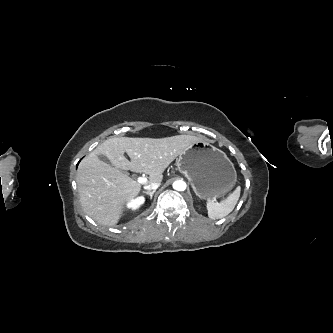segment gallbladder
<instances>
[{
    "label": "gallbladder",
    "instance_id": "bac80fb5",
    "mask_svg": "<svg viewBox=\"0 0 333 333\" xmlns=\"http://www.w3.org/2000/svg\"><path fill=\"white\" fill-rule=\"evenodd\" d=\"M99 159L102 160L103 162L109 163V160L107 159V157L100 155ZM125 174H128L126 171H124Z\"/></svg>",
    "mask_w": 333,
    "mask_h": 333
}]
</instances>
